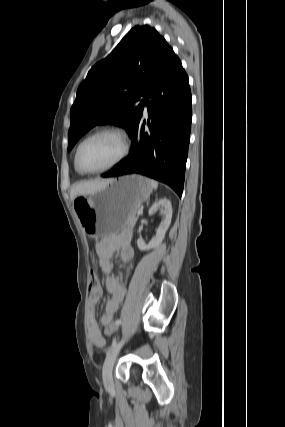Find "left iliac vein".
Returning <instances> with one entry per match:
<instances>
[{
    "instance_id": "4c4485c4",
    "label": "left iliac vein",
    "mask_w": 285,
    "mask_h": 427,
    "mask_svg": "<svg viewBox=\"0 0 285 427\" xmlns=\"http://www.w3.org/2000/svg\"><path fill=\"white\" fill-rule=\"evenodd\" d=\"M124 343V340H120L117 344L110 348L105 358L103 368H102V378L103 383L106 388L110 389L113 386V378H112V369L116 357Z\"/></svg>"
}]
</instances>
